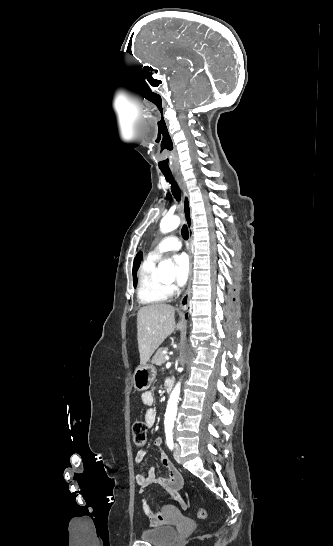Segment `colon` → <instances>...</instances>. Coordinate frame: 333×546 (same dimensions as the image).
I'll return each instance as SVG.
<instances>
[{
	"instance_id": "5ec220e1",
	"label": "colon",
	"mask_w": 333,
	"mask_h": 546,
	"mask_svg": "<svg viewBox=\"0 0 333 546\" xmlns=\"http://www.w3.org/2000/svg\"><path fill=\"white\" fill-rule=\"evenodd\" d=\"M147 427L143 422H136L132 427V439L136 447L142 448L147 442ZM199 519L207 517V511L201 508L197 512Z\"/></svg>"
}]
</instances>
